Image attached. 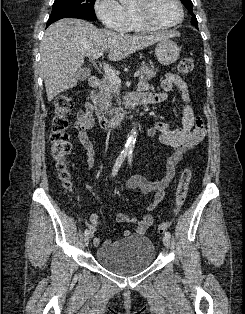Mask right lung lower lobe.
<instances>
[{"instance_id":"98d812e1","label":"right lung lower lobe","mask_w":245,"mask_h":314,"mask_svg":"<svg viewBox=\"0 0 245 314\" xmlns=\"http://www.w3.org/2000/svg\"><path fill=\"white\" fill-rule=\"evenodd\" d=\"M62 18H66V17H58V18H53V19H49L47 21V27L52 24L53 22L59 20V19H62ZM69 18H79V19H90V18H87V17H81V16H69Z\"/></svg>"}]
</instances>
